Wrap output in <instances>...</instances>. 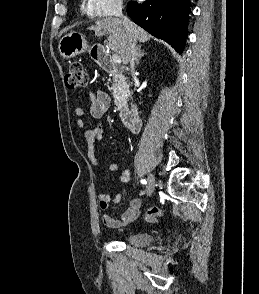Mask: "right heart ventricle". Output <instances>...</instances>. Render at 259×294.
Returning a JSON list of instances; mask_svg holds the SVG:
<instances>
[{
	"label": "right heart ventricle",
	"instance_id": "e07e8e85",
	"mask_svg": "<svg viewBox=\"0 0 259 294\" xmlns=\"http://www.w3.org/2000/svg\"><path fill=\"white\" fill-rule=\"evenodd\" d=\"M87 12L90 14V10L88 8H86Z\"/></svg>",
	"mask_w": 259,
	"mask_h": 294
}]
</instances>
